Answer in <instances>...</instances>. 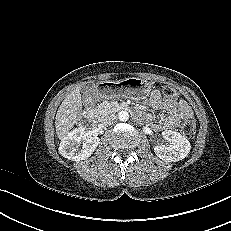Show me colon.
<instances>
[{
	"label": "colon",
	"mask_w": 231,
	"mask_h": 231,
	"mask_svg": "<svg viewBox=\"0 0 231 231\" xmlns=\"http://www.w3.org/2000/svg\"><path fill=\"white\" fill-rule=\"evenodd\" d=\"M162 93L168 99L176 98V90L171 86H165ZM180 131L187 138H193L196 132V122L193 116L184 118L179 124Z\"/></svg>",
	"instance_id": "colon-1"
}]
</instances>
